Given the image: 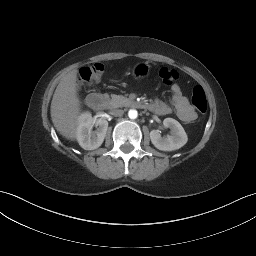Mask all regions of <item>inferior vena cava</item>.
<instances>
[{
  "label": "inferior vena cava",
  "instance_id": "1",
  "mask_svg": "<svg viewBox=\"0 0 256 256\" xmlns=\"http://www.w3.org/2000/svg\"><path fill=\"white\" fill-rule=\"evenodd\" d=\"M123 113H124V111L121 109H114L111 111V115H113V116H122Z\"/></svg>",
  "mask_w": 256,
  "mask_h": 256
}]
</instances>
